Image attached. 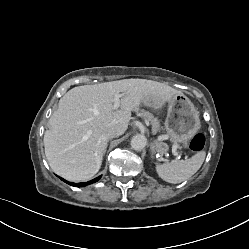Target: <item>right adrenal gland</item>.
I'll list each match as a JSON object with an SVG mask.
<instances>
[{
  "label": "right adrenal gland",
  "mask_w": 249,
  "mask_h": 249,
  "mask_svg": "<svg viewBox=\"0 0 249 249\" xmlns=\"http://www.w3.org/2000/svg\"><path fill=\"white\" fill-rule=\"evenodd\" d=\"M106 148H107V146H106ZM106 148H105V150H104V154H105V152H106ZM104 154H103V155H104Z\"/></svg>",
  "instance_id": "2a0ac1e0"
}]
</instances>
